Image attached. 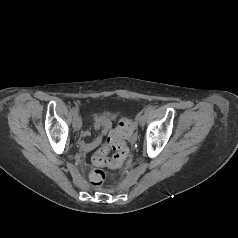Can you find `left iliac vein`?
Listing matches in <instances>:
<instances>
[{"label":"left iliac vein","instance_id":"1","mask_svg":"<svg viewBox=\"0 0 238 238\" xmlns=\"http://www.w3.org/2000/svg\"><path fill=\"white\" fill-rule=\"evenodd\" d=\"M146 118H147V114L144 112V113L139 117V124H140V126H144L145 121H146Z\"/></svg>","mask_w":238,"mask_h":238}]
</instances>
